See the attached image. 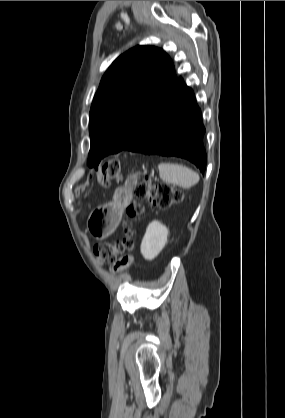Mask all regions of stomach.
Segmentation results:
<instances>
[{
    "instance_id": "obj_1",
    "label": "stomach",
    "mask_w": 285,
    "mask_h": 418,
    "mask_svg": "<svg viewBox=\"0 0 285 418\" xmlns=\"http://www.w3.org/2000/svg\"><path fill=\"white\" fill-rule=\"evenodd\" d=\"M138 174H132L131 184L135 185L138 181ZM131 184L126 187L118 188L115 191L113 201L99 207L93 211L88 219V231L96 239H103L110 235L117 227L123 210L128 206L133 198Z\"/></svg>"
}]
</instances>
